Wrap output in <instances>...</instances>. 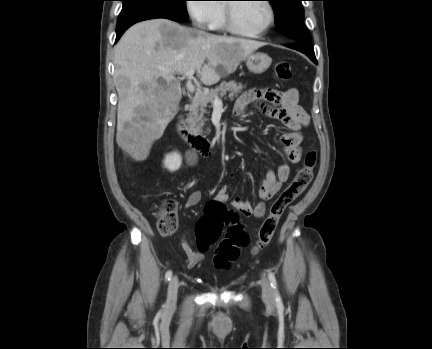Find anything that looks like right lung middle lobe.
Masks as SVG:
<instances>
[{"label": "right lung middle lobe", "instance_id": "1", "mask_svg": "<svg viewBox=\"0 0 432 349\" xmlns=\"http://www.w3.org/2000/svg\"><path fill=\"white\" fill-rule=\"evenodd\" d=\"M123 7L119 14L118 23H122L140 16L156 15L174 21L187 18V0H122Z\"/></svg>", "mask_w": 432, "mask_h": 349}]
</instances>
